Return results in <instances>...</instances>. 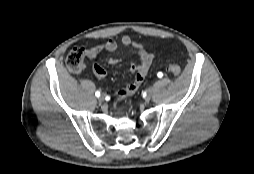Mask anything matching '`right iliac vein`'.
Instances as JSON below:
<instances>
[{"label":"right iliac vein","mask_w":254,"mask_h":174,"mask_svg":"<svg viewBox=\"0 0 254 174\" xmlns=\"http://www.w3.org/2000/svg\"><path fill=\"white\" fill-rule=\"evenodd\" d=\"M98 99H99V101H100V102H104V100H105V96H104V95H101V96H99V98H98Z\"/></svg>","instance_id":"obj_1"}]
</instances>
